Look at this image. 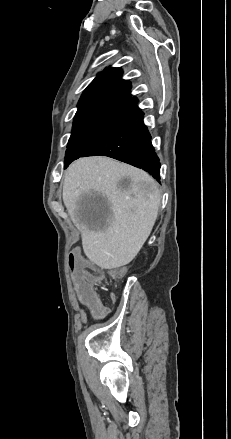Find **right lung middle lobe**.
I'll return each mask as SVG.
<instances>
[{
  "label": "right lung middle lobe",
  "mask_w": 231,
  "mask_h": 439,
  "mask_svg": "<svg viewBox=\"0 0 231 439\" xmlns=\"http://www.w3.org/2000/svg\"><path fill=\"white\" fill-rule=\"evenodd\" d=\"M123 121L119 118L105 116L75 117L73 131L65 155V168L102 140Z\"/></svg>",
  "instance_id": "dd1d6c3e"
}]
</instances>
